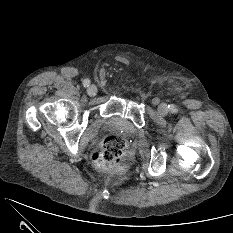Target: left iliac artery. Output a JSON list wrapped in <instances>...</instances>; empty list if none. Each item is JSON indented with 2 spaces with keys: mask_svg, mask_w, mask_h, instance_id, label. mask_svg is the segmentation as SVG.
<instances>
[{
  "mask_svg": "<svg viewBox=\"0 0 233 233\" xmlns=\"http://www.w3.org/2000/svg\"><path fill=\"white\" fill-rule=\"evenodd\" d=\"M168 107H170V111L175 112L176 111V107L174 105H169Z\"/></svg>",
  "mask_w": 233,
  "mask_h": 233,
  "instance_id": "left-iliac-artery-1",
  "label": "left iliac artery"
}]
</instances>
